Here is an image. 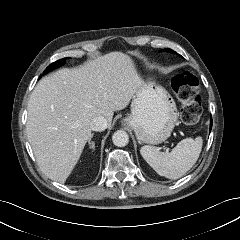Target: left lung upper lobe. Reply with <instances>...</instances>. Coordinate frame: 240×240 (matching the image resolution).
<instances>
[{"mask_svg": "<svg viewBox=\"0 0 240 240\" xmlns=\"http://www.w3.org/2000/svg\"><path fill=\"white\" fill-rule=\"evenodd\" d=\"M164 51L166 52H171V53H176L175 51L171 50V49H165Z\"/></svg>", "mask_w": 240, "mask_h": 240, "instance_id": "5c2ea615", "label": "left lung upper lobe"}]
</instances>
